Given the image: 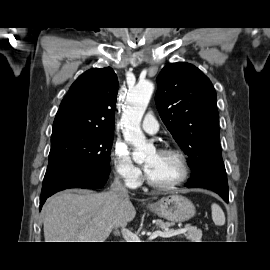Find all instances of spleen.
I'll use <instances>...</instances> for the list:
<instances>
[{
	"instance_id": "3e777b00",
	"label": "spleen",
	"mask_w": 270,
	"mask_h": 270,
	"mask_svg": "<svg viewBox=\"0 0 270 270\" xmlns=\"http://www.w3.org/2000/svg\"><path fill=\"white\" fill-rule=\"evenodd\" d=\"M212 219L217 226L225 224V215L221 207L215 203L211 205Z\"/></svg>"
}]
</instances>
